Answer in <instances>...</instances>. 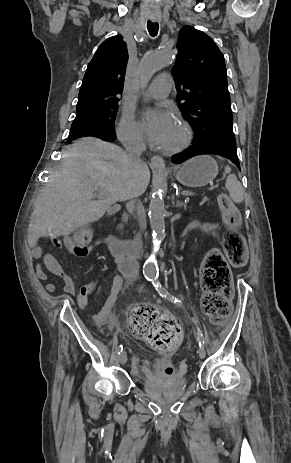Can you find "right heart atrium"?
Listing matches in <instances>:
<instances>
[{
  "label": "right heart atrium",
  "mask_w": 291,
  "mask_h": 463,
  "mask_svg": "<svg viewBox=\"0 0 291 463\" xmlns=\"http://www.w3.org/2000/svg\"><path fill=\"white\" fill-rule=\"evenodd\" d=\"M118 135L123 142L132 144H141L144 141V135L140 124L136 121L131 113H124L119 126Z\"/></svg>",
  "instance_id": "right-heart-atrium-1"
}]
</instances>
